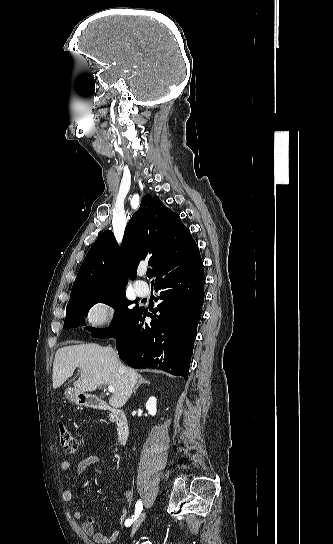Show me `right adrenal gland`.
Wrapping results in <instances>:
<instances>
[{"label": "right adrenal gland", "instance_id": "2a0ac1e0", "mask_svg": "<svg viewBox=\"0 0 333 544\" xmlns=\"http://www.w3.org/2000/svg\"><path fill=\"white\" fill-rule=\"evenodd\" d=\"M141 384H150V382L147 381L145 378L140 377L139 382H138V383L136 384V386L134 387L133 392H135V390H136Z\"/></svg>", "mask_w": 333, "mask_h": 544}]
</instances>
